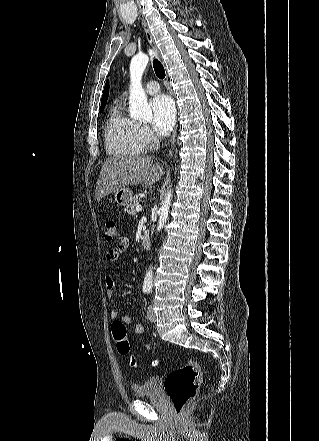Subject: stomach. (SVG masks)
<instances>
[{
	"label": "stomach",
	"instance_id": "1",
	"mask_svg": "<svg viewBox=\"0 0 319 441\" xmlns=\"http://www.w3.org/2000/svg\"><path fill=\"white\" fill-rule=\"evenodd\" d=\"M132 191L129 188H123L115 192V202L121 206H126L131 203Z\"/></svg>",
	"mask_w": 319,
	"mask_h": 441
}]
</instances>
